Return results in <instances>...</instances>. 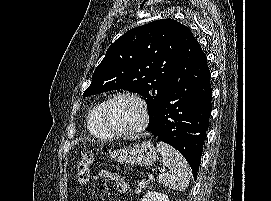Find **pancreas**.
Returning <instances> with one entry per match:
<instances>
[{"instance_id":"pancreas-1","label":"pancreas","mask_w":271,"mask_h":201,"mask_svg":"<svg viewBox=\"0 0 271 201\" xmlns=\"http://www.w3.org/2000/svg\"><path fill=\"white\" fill-rule=\"evenodd\" d=\"M148 184L149 183L147 181L141 180L140 182H138L135 192L140 193L143 189L148 187Z\"/></svg>"}]
</instances>
